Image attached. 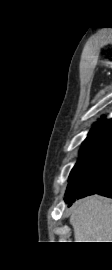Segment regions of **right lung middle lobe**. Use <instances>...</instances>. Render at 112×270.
<instances>
[{
    "instance_id": "dd1d6c3e",
    "label": "right lung middle lobe",
    "mask_w": 112,
    "mask_h": 270,
    "mask_svg": "<svg viewBox=\"0 0 112 270\" xmlns=\"http://www.w3.org/2000/svg\"><path fill=\"white\" fill-rule=\"evenodd\" d=\"M112 127L91 130L80 151V158L69 176L65 202L75 200L85 193L82 178L93 171L112 146Z\"/></svg>"
}]
</instances>
